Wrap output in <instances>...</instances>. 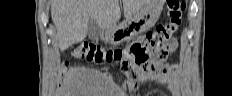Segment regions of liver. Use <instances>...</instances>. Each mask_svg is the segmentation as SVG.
Wrapping results in <instances>:
<instances>
[{
  "label": "liver",
  "instance_id": "6515ba94",
  "mask_svg": "<svg viewBox=\"0 0 232 96\" xmlns=\"http://www.w3.org/2000/svg\"><path fill=\"white\" fill-rule=\"evenodd\" d=\"M147 0H123L127 20L137 14ZM51 17L57 30L61 51L83 41L87 35L88 20L93 17L102 30L117 26L121 18L119 0H53Z\"/></svg>",
  "mask_w": 232,
  "mask_h": 96
}]
</instances>
